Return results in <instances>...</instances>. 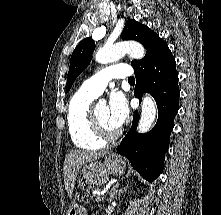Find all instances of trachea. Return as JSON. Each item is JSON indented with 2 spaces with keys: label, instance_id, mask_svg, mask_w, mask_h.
<instances>
[{
  "label": "trachea",
  "instance_id": "1",
  "mask_svg": "<svg viewBox=\"0 0 221 215\" xmlns=\"http://www.w3.org/2000/svg\"><path fill=\"white\" fill-rule=\"evenodd\" d=\"M128 81H135L133 77L128 78Z\"/></svg>",
  "mask_w": 221,
  "mask_h": 215
}]
</instances>
